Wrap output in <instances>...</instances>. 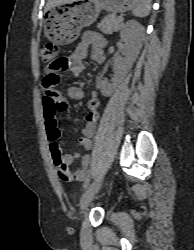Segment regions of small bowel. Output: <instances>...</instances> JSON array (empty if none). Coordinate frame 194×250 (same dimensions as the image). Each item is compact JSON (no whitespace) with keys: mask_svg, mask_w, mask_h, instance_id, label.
Wrapping results in <instances>:
<instances>
[{"mask_svg":"<svg viewBox=\"0 0 194 250\" xmlns=\"http://www.w3.org/2000/svg\"><path fill=\"white\" fill-rule=\"evenodd\" d=\"M106 41L97 32H84L81 36V41L73 51V53L67 57L62 58L64 63L60 69L54 70L48 66L45 69V78L52 73H58L59 71H69L76 76L81 75L84 70V60L88 56L91 50V57L97 63H103L105 61V47ZM43 81V87L48 95H51L55 102L58 104V108L53 113H46L44 111L45 128L47 136L51 142L50 151L53 160H55L56 153L59 152V157L62 163L67 167L70 165L78 156L77 152L63 153L57 145V140L60 137V131L57 122V113L66 109L65 98L52 86ZM99 85L102 92H108L111 88V82L105 77L104 73L99 77ZM66 95L72 100H81L84 97V91L79 86H69L66 90ZM100 101L97 97V93H93L92 97L87 102V112L85 114V127L83 129V137L79 139V145L84 149H91L92 141L91 138L95 133L96 123L99 114ZM54 137V138H53ZM90 165V156L84 155L81 158V166L75 172L70 173V179L67 181H82L87 178V171Z\"/></svg>","mask_w":194,"mask_h":250,"instance_id":"obj_1","label":"small bowel"}]
</instances>
